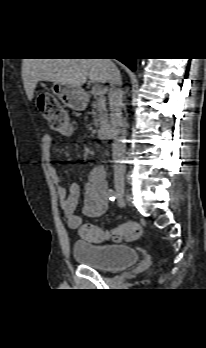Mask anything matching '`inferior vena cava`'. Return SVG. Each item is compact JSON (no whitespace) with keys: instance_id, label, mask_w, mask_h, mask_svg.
Masks as SVG:
<instances>
[{"instance_id":"inferior-vena-cava-1","label":"inferior vena cava","mask_w":206,"mask_h":348,"mask_svg":"<svg viewBox=\"0 0 206 348\" xmlns=\"http://www.w3.org/2000/svg\"><path fill=\"white\" fill-rule=\"evenodd\" d=\"M109 63V109L112 132V156L114 161L119 162L125 158L126 146L124 144L125 128L122 116L123 89L120 71L115 64L106 59ZM123 168V167H122Z\"/></svg>"}]
</instances>
